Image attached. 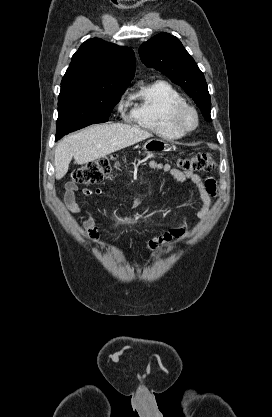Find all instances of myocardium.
Instances as JSON below:
<instances>
[{"instance_id":"f54148a6","label":"myocardium","mask_w":272,"mask_h":417,"mask_svg":"<svg viewBox=\"0 0 272 417\" xmlns=\"http://www.w3.org/2000/svg\"><path fill=\"white\" fill-rule=\"evenodd\" d=\"M191 115L192 124L188 125L185 121L186 116ZM171 123L173 127L182 134L194 131L199 124V115L196 108L188 103L175 106L171 113Z\"/></svg>"}]
</instances>
